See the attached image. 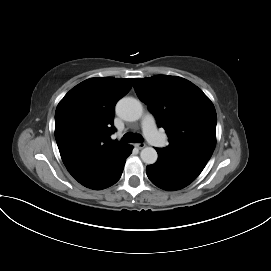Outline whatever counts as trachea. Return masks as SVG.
<instances>
[{"mask_svg": "<svg viewBox=\"0 0 271 271\" xmlns=\"http://www.w3.org/2000/svg\"><path fill=\"white\" fill-rule=\"evenodd\" d=\"M143 141V137L140 134L126 133L123 138V143H141Z\"/></svg>", "mask_w": 271, "mask_h": 271, "instance_id": "trachea-1", "label": "trachea"}]
</instances>
